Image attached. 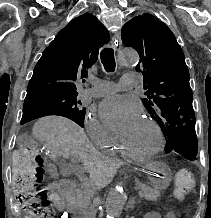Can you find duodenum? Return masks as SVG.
<instances>
[{
    "mask_svg": "<svg viewBox=\"0 0 211 218\" xmlns=\"http://www.w3.org/2000/svg\"><path fill=\"white\" fill-rule=\"evenodd\" d=\"M58 187L64 196L66 208L74 218H80V210L75 201V183L70 179H63L58 182Z\"/></svg>",
    "mask_w": 211,
    "mask_h": 218,
    "instance_id": "obj_1",
    "label": "duodenum"
}]
</instances>
